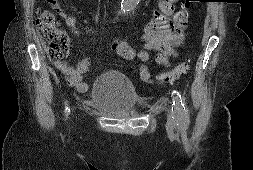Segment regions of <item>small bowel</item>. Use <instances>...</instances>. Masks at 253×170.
<instances>
[{"label":"small bowel","instance_id":"1","mask_svg":"<svg viewBox=\"0 0 253 170\" xmlns=\"http://www.w3.org/2000/svg\"><path fill=\"white\" fill-rule=\"evenodd\" d=\"M176 1H159L158 9L144 27L142 36L143 45L140 49H135L123 39L117 40L111 45V49L124 59L143 62L139 67V75L145 82H152L147 65L151 57L157 64L169 68L171 66V59L176 57V48L183 42V28L186 24H179L176 15L174 16V24L170 22ZM50 4L74 35L80 36L81 32L77 27L76 17L68 14L56 0H51ZM90 65L91 61L89 58H82L75 67L66 62L55 63V67L65 75L68 83L79 92H86L88 90V84L84 81V76L89 73Z\"/></svg>","mask_w":253,"mask_h":170}]
</instances>
